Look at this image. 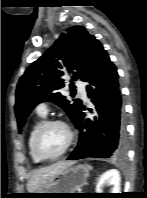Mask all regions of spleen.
<instances>
[{
	"mask_svg": "<svg viewBox=\"0 0 147 198\" xmlns=\"http://www.w3.org/2000/svg\"><path fill=\"white\" fill-rule=\"evenodd\" d=\"M88 168H89V169H92V167H91L90 165H88Z\"/></svg>",
	"mask_w": 147,
	"mask_h": 198,
	"instance_id": "1",
	"label": "spleen"
}]
</instances>
